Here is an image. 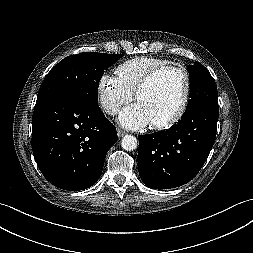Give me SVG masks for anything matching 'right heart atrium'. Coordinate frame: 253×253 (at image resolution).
I'll return each mask as SVG.
<instances>
[{
    "label": "right heart atrium",
    "instance_id": "1",
    "mask_svg": "<svg viewBox=\"0 0 253 253\" xmlns=\"http://www.w3.org/2000/svg\"><path fill=\"white\" fill-rule=\"evenodd\" d=\"M101 107L109 115H115L121 106L128 104L133 94L124 88L116 77L104 74L98 82Z\"/></svg>",
    "mask_w": 253,
    "mask_h": 253
}]
</instances>
